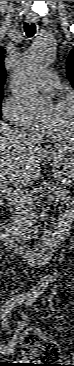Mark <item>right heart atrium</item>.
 <instances>
[{"mask_svg":"<svg viewBox=\"0 0 74 366\" xmlns=\"http://www.w3.org/2000/svg\"><path fill=\"white\" fill-rule=\"evenodd\" d=\"M2 113L6 120L14 126L30 133L37 132L33 124L25 115L22 104L17 98L8 96L3 102Z\"/></svg>","mask_w":74,"mask_h":366,"instance_id":"right-heart-atrium-1","label":"right heart atrium"}]
</instances>
